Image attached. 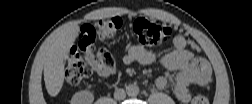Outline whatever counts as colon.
I'll return each mask as SVG.
<instances>
[{
  "label": "colon",
  "instance_id": "obj_1",
  "mask_svg": "<svg viewBox=\"0 0 252 104\" xmlns=\"http://www.w3.org/2000/svg\"><path fill=\"white\" fill-rule=\"evenodd\" d=\"M121 26L122 21L116 17L84 24L79 28L77 46L70 50L65 62V78L69 84L77 85L91 76V69L84 62L83 54L91 53L97 40L114 38ZM133 28L139 42L143 45H155L166 41L172 34L170 26L153 22L144 17L137 18ZM98 58L105 68L110 72L114 71L115 60L109 50L100 49ZM208 101L206 94L197 93L192 102L193 104H207Z\"/></svg>",
  "mask_w": 252,
  "mask_h": 104
}]
</instances>
